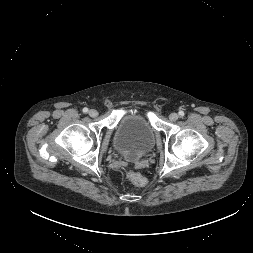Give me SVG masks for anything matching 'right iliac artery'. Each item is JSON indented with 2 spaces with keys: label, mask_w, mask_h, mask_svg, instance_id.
I'll return each mask as SVG.
<instances>
[{
  "label": "right iliac artery",
  "mask_w": 253,
  "mask_h": 253,
  "mask_svg": "<svg viewBox=\"0 0 253 253\" xmlns=\"http://www.w3.org/2000/svg\"><path fill=\"white\" fill-rule=\"evenodd\" d=\"M83 112H84V113H87V112H88V108H86V107L83 108Z\"/></svg>",
  "instance_id": "obj_1"
}]
</instances>
